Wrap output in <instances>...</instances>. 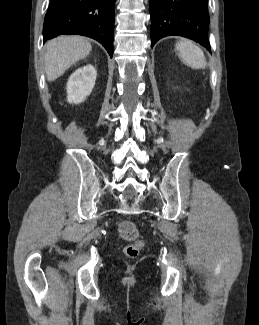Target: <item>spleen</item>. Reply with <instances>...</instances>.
<instances>
[{
	"label": "spleen",
	"mask_w": 259,
	"mask_h": 325,
	"mask_svg": "<svg viewBox=\"0 0 259 325\" xmlns=\"http://www.w3.org/2000/svg\"><path fill=\"white\" fill-rule=\"evenodd\" d=\"M177 55L181 61L192 69H205L206 58L203 51L189 40L176 43Z\"/></svg>",
	"instance_id": "obj_1"
}]
</instances>
